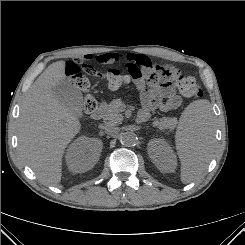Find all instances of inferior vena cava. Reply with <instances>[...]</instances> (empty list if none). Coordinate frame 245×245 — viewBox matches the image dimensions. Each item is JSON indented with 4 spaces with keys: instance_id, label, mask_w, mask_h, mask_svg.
I'll return each mask as SVG.
<instances>
[{
    "instance_id": "602c4592",
    "label": "inferior vena cava",
    "mask_w": 245,
    "mask_h": 245,
    "mask_svg": "<svg viewBox=\"0 0 245 245\" xmlns=\"http://www.w3.org/2000/svg\"><path fill=\"white\" fill-rule=\"evenodd\" d=\"M104 128H105L106 131L109 132V133H118V132H119L118 127H116V126H114V125H106Z\"/></svg>"
}]
</instances>
